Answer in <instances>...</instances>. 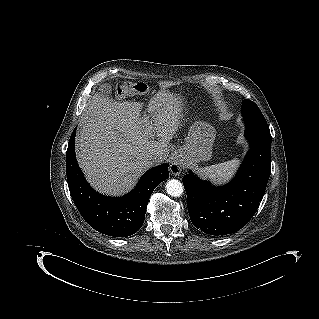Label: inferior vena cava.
<instances>
[{
  "label": "inferior vena cava",
  "instance_id": "1",
  "mask_svg": "<svg viewBox=\"0 0 319 319\" xmlns=\"http://www.w3.org/2000/svg\"><path fill=\"white\" fill-rule=\"evenodd\" d=\"M148 160L151 165L160 164L163 162V156L161 154H154L151 155Z\"/></svg>",
  "mask_w": 319,
  "mask_h": 319
}]
</instances>
